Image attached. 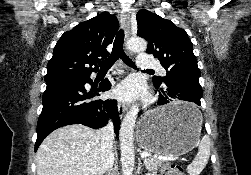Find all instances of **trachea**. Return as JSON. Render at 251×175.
Returning <instances> with one entry per match:
<instances>
[{
  "label": "trachea",
  "mask_w": 251,
  "mask_h": 175,
  "mask_svg": "<svg viewBox=\"0 0 251 175\" xmlns=\"http://www.w3.org/2000/svg\"><path fill=\"white\" fill-rule=\"evenodd\" d=\"M123 43H124V31L123 29L120 30L115 38L113 49L111 55L106 58L103 62L99 63L100 71H107L112 65L121 58L126 65H129L132 68H136L134 62L125 54L123 50ZM147 72H154V70H144Z\"/></svg>",
  "instance_id": "3493384b"
}]
</instances>
